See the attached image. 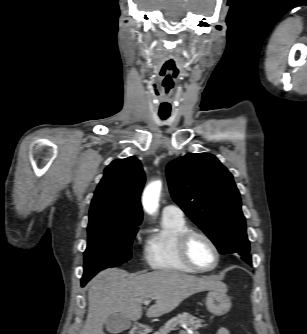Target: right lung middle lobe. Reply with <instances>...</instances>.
I'll use <instances>...</instances> for the list:
<instances>
[{
    "label": "right lung middle lobe",
    "mask_w": 307,
    "mask_h": 334,
    "mask_svg": "<svg viewBox=\"0 0 307 334\" xmlns=\"http://www.w3.org/2000/svg\"><path fill=\"white\" fill-rule=\"evenodd\" d=\"M139 225L117 222L88 224L82 282L86 284L102 269L127 262L131 258V244Z\"/></svg>",
    "instance_id": "dd1d6c3e"
}]
</instances>
